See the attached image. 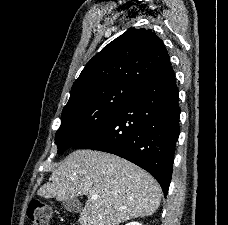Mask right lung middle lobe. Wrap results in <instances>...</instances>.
Instances as JSON below:
<instances>
[{
    "label": "right lung middle lobe",
    "instance_id": "right-lung-middle-lobe-1",
    "mask_svg": "<svg viewBox=\"0 0 228 225\" xmlns=\"http://www.w3.org/2000/svg\"><path fill=\"white\" fill-rule=\"evenodd\" d=\"M137 89L125 83H111L89 89L67 103L62 111L61 126L55 135L58 154L111 117Z\"/></svg>",
    "mask_w": 228,
    "mask_h": 225
}]
</instances>
